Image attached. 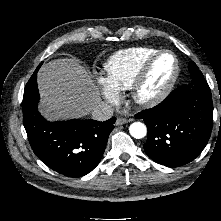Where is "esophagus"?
I'll list each match as a JSON object with an SVG mask.
<instances>
[{
  "mask_svg": "<svg viewBox=\"0 0 221 221\" xmlns=\"http://www.w3.org/2000/svg\"><path fill=\"white\" fill-rule=\"evenodd\" d=\"M128 122H129L128 119L123 118V117H120V118H117L115 125H116V126H119V125L126 124V123H128Z\"/></svg>",
  "mask_w": 221,
  "mask_h": 221,
  "instance_id": "1",
  "label": "esophagus"
}]
</instances>
